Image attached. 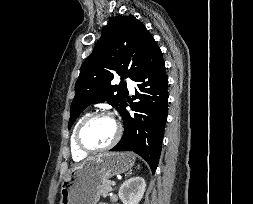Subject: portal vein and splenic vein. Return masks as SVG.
Instances as JSON below:
<instances>
[{"label": "portal vein and splenic vein", "mask_w": 253, "mask_h": 204, "mask_svg": "<svg viewBox=\"0 0 253 204\" xmlns=\"http://www.w3.org/2000/svg\"><path fill=\"white\" fill-rule=\"evenodd\" d=\"M110 184H111L112 186H115V185H116V182H115V181H111Z\"/></svg>", "instance_id": "18ae733b"}]
</instances>
